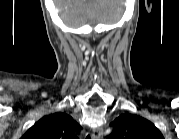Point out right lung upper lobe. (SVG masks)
I'll use <instances>...</instances> for the list:
<instances>
[{
	"label": "right lung upper lobe",
	"mask_w": 179,
	"mask_h": 139,
	"mask_svg": "<svg viewBox=\"0 0 179 139\" xmlns=\"http://www.w3.org/2000/svg\"><path fill=\"white\" fill-rule=\"evenodd\" d=\"M80 125L65 113L57 112L42 117L24 135L23 139H76L74 131Z\"/></svg>",
	"instance_id": "obj_1"
}]
</instances>
